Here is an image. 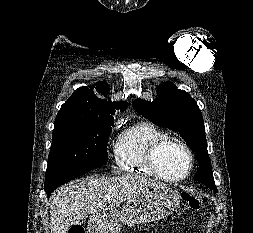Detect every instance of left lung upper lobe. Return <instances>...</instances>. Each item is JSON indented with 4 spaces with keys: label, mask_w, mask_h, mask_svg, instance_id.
Instances as JSON below:
<instances>
[{
    "label": "left lung upper lobe",
    "mask_w": 253,
    "mask_h": 233,
    "mask_svg": "<svg viewBox=\"0 0 253 233\" xmlns=\"http://www.w3.org/2000/svg\"><path fill=\"white\" fill-rule=\"evenodd\" d=\"M153 102L136 99L135 111L160 127L178 131L187 145L195 151L199 169L194 179L209 188H216L207 151L202 113L196 101L172 83H163Z\"/></svg>",
    "instance_id": "left-lung-upper-lobe-1"
}]
</instances>
